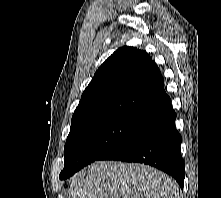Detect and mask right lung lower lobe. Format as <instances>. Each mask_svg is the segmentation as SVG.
Here are the masks:
<instances>
[{
	"mask_svg": "<svg viewBox=\"0 0 221 198\" xmlns=\"http://www.w3.org/2000/svg\"><path fill=\"white\" fill-rule=\"evenodd\" d=\"M176 113L170 100L143 119L139 126L98 160L144 163L171 175L184 186L185 165L181 135L175 127Z\"/></svg>",
	"mask_w": 221,
	"mask_h": 198,
	"instance_id": "right-lung-lower-lobe-1",
	"label": "right lung lower lobe"
}]
</instances>
